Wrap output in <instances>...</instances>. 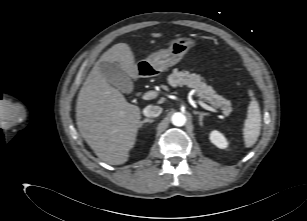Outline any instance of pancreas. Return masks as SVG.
<instances>
[{
	"label": "pancreas",
	"mask_w": 307,
	"mask_h": 221,
	"mask_svg": "<svg viewBox=\"0 0 307 221\" xmlns=\"http://www.w3.org/2000/svg\"><path fill=\"white\" fill-rule=\"evenodd\" d=\"M168 83L172 87L186 85L194 89L201 99L209 102L213 107L223 110L224 115H229L232 111L231 102L218 95L213 87L203 81L202 77L198 74L174 70L168 76Z\"/></svg>",
	"instance_id": "1"
}]
</instances>
